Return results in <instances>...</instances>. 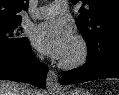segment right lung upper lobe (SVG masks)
I'll return each instance as SVG.
<instances>
[{
  "label": "right lung upper lobe",
  "mask_w": 119,
  "mask_h": 95,
  "mask_svg": "<svg viewBox=\"0 0 119 95\" xmlns=\"http://www.w3.org/2000/svg\"><path fill=\"white\" fill-rule=\"evenodd\" d=\"M29 0H0V25L21 22L22 10L28 9Z\"/></svg>",
  "instance_id": "obj_1"
}]
</instances>
